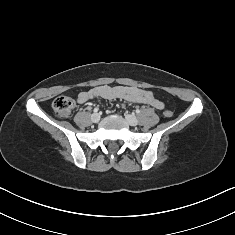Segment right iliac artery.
<instances>
[{"label": "right iliac artery", "instance_id": "obj_1", "mask_svg": "<svg viewBox=\"0 0 235 235\" xmlns=\"http://www.w3.org/2000/svg\"><path fill=\"white\" fill-rule=\"evenodd\" d=\"M98 111H99V109H98V108H95V109H94V112H98Z\"/></svg>", "mask_w": 235, "mask_h": 235}]
</instances>
